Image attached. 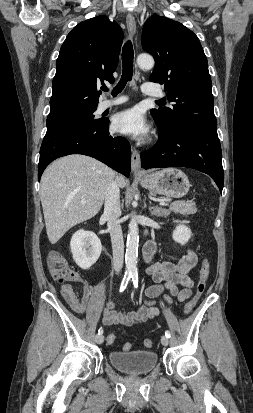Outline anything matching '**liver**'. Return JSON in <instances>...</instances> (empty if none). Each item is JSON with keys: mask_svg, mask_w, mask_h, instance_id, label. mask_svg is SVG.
<instances>
[{"mask_svg": "<svg viewBox=\"0 0 253 413\" xmlns=\"http://www.w3.org/2000/svg\"><path fill=\"white\" fill-rule=\"evenodd\" d=\"M115 177L119 186L125 187L124 176L80 154L62 157L46 168L41 178L40 197L51 244L100 211L107 187Z\"/></svg>", "mask_w": 253, "mask_h": 413, "instance_id": "6515ba94", "label": "liver"}]
</instances>
